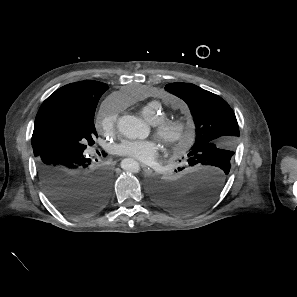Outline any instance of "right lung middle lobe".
I'll list each match as a JSON object with an SVG mask.
<instances>
[{
	"label": "right lung middle lobe",
	"instance_id": "obj_1",
	"mask_svg": "<svg viewBox=\"0 0 297 297\" xmlns=\"http://www.w3.org/2000/svg\"><path fill=\"white\" fill-rule=\"evenodd\" d=\"M97 105L62 103L53 108L42 122L36 140L39 151L64 148L83 153L85 144H94L97 133L94 114Z\"/></svg>",
	"mask_w": 297,
	"mask_h": 297
}]
</instances>
